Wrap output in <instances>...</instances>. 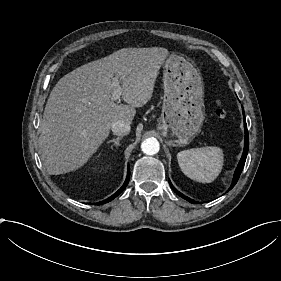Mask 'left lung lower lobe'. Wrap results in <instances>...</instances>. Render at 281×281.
Returning a JSON list of instances; mask_svg holds the SVG:
<instances>
[{"label":"left lung lower lobe","instance_id":"left-lung-lower-lobe-1","mask_svg":"<svg viewBox=\"0 0 281 281\" xmlns=\"http://www.w3.org/2000/svg\"><path fill=\"white\" fill-rule=\"evenodd\" d=\"M242 110H243V120H244V130H245V142H244V151H243V154H242V157H241V160L236 168V171L234 173V177H233V182L229 188L232 189L235 184L237 183L239 177H240V174L243 170V167H244V164H245V161H246V157H247V153H248V149H249V137H248V130H247V124H246V120H245V114H244V109L242 107ZM170 183V186L171 188L182 198L186 199L187 201L193 203V204H196L197 202L191 200L190 198L186 197L185 195H183L182 193H180L178 190H176L174 188V186L171 184V182L169 181ZM228 190V191H229Z\"/></svg>","mask_w":281,"mask_h":281}]
</instances>
